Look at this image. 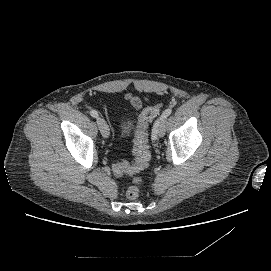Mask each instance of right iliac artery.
I'll use <instances>...</instances> for the list:
<instances>
[{"label": "right iliac artery", "instance_id": "82829eb1", "mask_svg": "<svg viewBox=\"0 0 271 271\" xmlns=\"http://www.w3.org/2000/svg\"><path fill=\"white\" fill-rule=\"evenodd\" d=\"M90 115L94 118H97L98 117V112L96 110H91L90 111Z\"/></svg>", "mask_w": 271, "mask_h": 271}]
</instances>
